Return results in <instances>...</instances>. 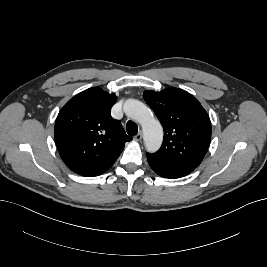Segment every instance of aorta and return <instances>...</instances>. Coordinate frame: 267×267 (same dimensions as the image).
Wrapping results in <instances>:
<instances>
[{"label":"aorta","instance_id":"aorta-1","mask_svg":"<svg viewBox=\"0 0 267 267\" xmlns=\"http://www.w3.org/2000/svg\"><path fill=\"white\" fill-rule=\"evenodd\" d=\"M125 114L141 124L144 143L149 152H156L163 140V128L150 109L142 102L129 99L123 105Z\"/></svg>","mask_w":267,"mask_h":267}]
</instances>
